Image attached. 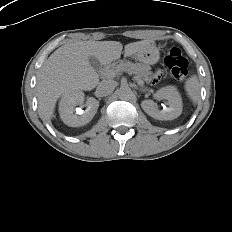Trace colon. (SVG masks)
Wrapping results in <instances>:
<instances>
[{
    "label": "colon",
    "mask_w": 232,
    "mask_h": 232,
    "mask_svg": "<svg viewBox=\"0 0 232 232\" xmlns=\"http://www.w3.org/2000/svg\"><path fill=\"white\" fill-rule=\"evenodd\" d=\"M164 65L175 80L182 81L186 79L188 75V61L179 49H170L164 58Z\"/></svg>",
    "instance_id": "colon-1"
}]
</instances>
